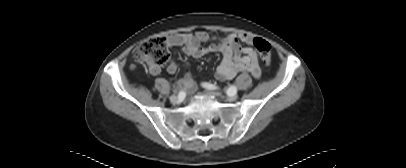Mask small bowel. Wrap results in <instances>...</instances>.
I'll list each match as a JSON object with an SVG mask.
<instances>
[{"instance_id": "obj_1", "label": "small bowel", "mask_w": 406, "mask_h": 168, "mask_svg": "<svg viewBox=\"0 0 406 168\" xmlns=\"http://www.w3.org/2000/svg\"><path fill=\"white\" fill-rule=\"evenodd\" d=\"M215 39L205 31H198L195 34L179 33L167 37L169 47H182L183 52L191 57L200 58L209 52H217L222 55V60L216 69L215 77L220 81L230 80L240 72H248L254 78L261 76L259 55L252 47H243L240 42L250 44L252 36L249 34H229L218 38L208 48H203L201 43ZM178 65L171 61L167 66L170 74L176 73ZM149 71L153 75L160 73L161 68L158 65L149 66ZM177 87L193 93L197 87L193 77L189 72L176 82Z\"/></svg>"}]
</instances>
